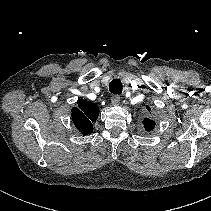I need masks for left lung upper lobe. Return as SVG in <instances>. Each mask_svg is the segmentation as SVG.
<instances>
[{
	"label": "left lung upper lobe",
	"instance_id": "1",
	"mask_svg": "<svg viewBox=\"0 0 211 211\" xmlns=\"http://www.w3.org/2000/svg\"><path fill=\"white\" fill-rule=\"evenodd\" d=\"M148 110H149V107H148ZM143 124L147 131H151L155 126V122L150 120L149 118H145L143 121Z\"/></svg>",
	"mask_w": 211,
	"mask_h": 211
}]
</instances>
